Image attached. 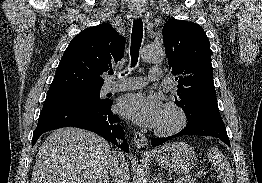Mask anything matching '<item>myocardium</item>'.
Instances as JSON below:
<instances>
[{
  "label": "myocardium",
  "instance_id": "myocardium-1",
  "mask_svg": "<svg viewBox=\"0 0 262 183\" xmlns=\"http://www.w3.org/2000/svg\"><path fill=\"white\" fill-rule=\"evenodd\" d=\"M164 109L172 110L176 114L177 121L170 128H166V129L156 128L155 134L161 137H167V136L174 135L180 132L187 124V115L184 109L177 103L167 102L164 105Z\"/></svg>",
  "mask_w": 262,
  "mask_h": 183
}]
</instances>
